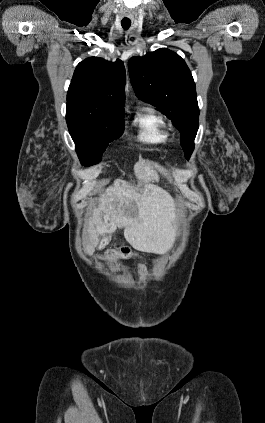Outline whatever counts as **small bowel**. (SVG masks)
Instances as JSON below:
<instances>
[{"label":"small bowel","mask_w":265,"mask_h":423,"mask_svg":"<svg viewBox=\"0 0 265 423\" xmlns=\"http://www.w3.org/2000/svg\"><path fill=\"white\" fill-rule=\"evenodd\" d=\"M139 269L141 270V277L143 278V277H144V271H143V268H142L141 266H139Z\"/></svg>","instance_id":"obj_1"}]
</instances>
